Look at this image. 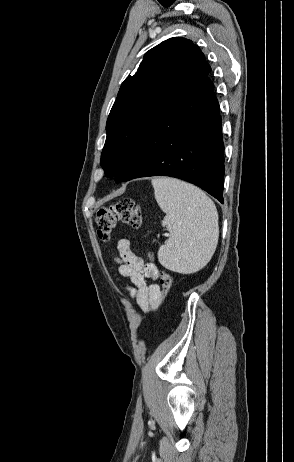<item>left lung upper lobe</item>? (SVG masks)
Wrapping results in <instances>:
<instances>
[{
	"label": "left lung upper lobe",
	"mask_w": 294,
	"mask_h": 462,
	"mask_svg": "<svg viewBox=\"0 0 294 462\" xmlns=\"http://www.w3.org/2000/svg\"><path fill=\"white\" fill-rule=\"evenodd\" d=\"M210 71L200 48L185 38H170L145 53L135 75L122 83L107 120L100 161L107 177L116 176L155 114Z\"/></svg>",
	"instance_id": "obj_1"
}]
</instances>
